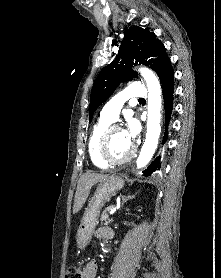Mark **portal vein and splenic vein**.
Here are the masks:
<instances>
[{
  "instance_id": "portal-vein-and-splenic-vein-1",
  "label": "portal vein and splenic vein",
  "mask_w": 221,
  "mask_h": 278,
  "mask_svg": "<svg viewBox=\"0 0 221 278\" xmlns=\"http://www.w3.org/2000/svg\"><path fill=\"white\" fill-rule=\"evenodd\" d=\"M117 210V207H111L110 214L113 215Z\"/></svg>"
}]
</instances>
